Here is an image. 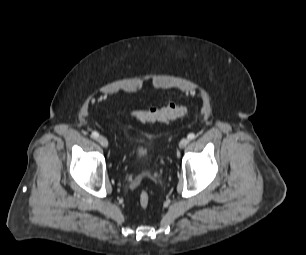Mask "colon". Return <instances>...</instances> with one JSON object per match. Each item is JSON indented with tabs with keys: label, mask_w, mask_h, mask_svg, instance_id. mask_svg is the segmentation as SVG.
<instances>
[{
	"label": "colon",
	"mask_w": 306,
	"mask_h": 255,
	"mask_svg": "<svg viewBox=\"0 0 306 255\" xmlns=\"http://www.w3.org/2000/svg\"><path fill=\"white\" fill-rule=\"evenodd\" d=\"M188 109L185 105L180 103H170L165 107L135 109L130 111V115L142 122H166L178 117L186 115ZM150 203V195L147 190L142 189L139 194V204L143 209H146Z\"/></svg>",
	"instance_id": "colon-1"
}]
</instances>
